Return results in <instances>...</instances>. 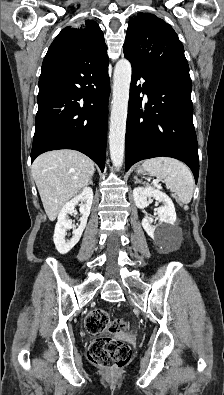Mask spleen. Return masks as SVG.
Instances as JSON below:
<instances>
[{
	"instance_id": "1",
	"label": "spleen",
	"mask_w": 224,
	"mask_h": 395,
	"mask_svg": "<svg viewBox=\"0 0 224 395\" xmlns=\"http://www.w3.org/2000/svg\"><path fill=\"white\" fill-rule=\"evenodd\" d=\"M142 167L150 175L161 179L167 189L177 195L182 204H188L193 195L194 179L190 169L181 161L168 157L147 159Z\"/></svg>"
}]
</instances>
